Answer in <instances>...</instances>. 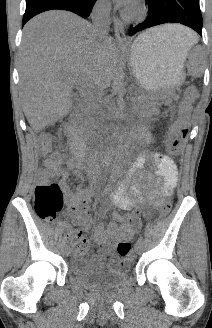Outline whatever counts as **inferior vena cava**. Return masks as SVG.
Instances as JSON below:
<instances>
[{"label": "inferior vena cava", "mask_w": 212, "mask_h": 328, "mask_svg": "<svg viewBox=\"0 0 212 328\" xmlns=\"http://www.w3.org/2000/svg\"><path fill=\"white\" fill-rule=\"evenodd\" d=\"M109 16H110V6L105 3L97 4L92 11V22L94 29L98 32L99 35L107 36L109 28ZM104 88L98 80H93L91 85L85 92V116L92 124L99 123L101 106L103 102V92ZM93 169L90 171L91 178H98V171L100 167L96 165V162H93Z\"/></svg>", "instance_id": "inferior-vena-cava-1"}]
</instances>
